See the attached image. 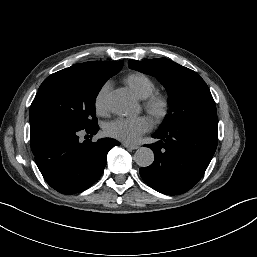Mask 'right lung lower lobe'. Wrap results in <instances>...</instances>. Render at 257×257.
Listing matches in <instances>:
<instances>
[{"mask_svg":"<svg viewBox=\"0 0 257 257\" xmlns=\"http://www.w3.org/2000/svg\"><path fill=\"white\" fill-rule=\"evenodd\" d=\"M31 150L47 183L63 194L82 192L102 175L107 153L120 143L111 138L97 142L79 140L86 132L92 137L99 130L95 125L85 129L66 128L52 122L30 123Z\"/></svg>","mask_w":257,"mask_h":257,"instance_id":"98d812e1","label":"right lung lower lobe"}]
</instances>
